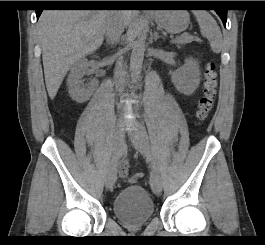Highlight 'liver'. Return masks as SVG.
<instances>
[{"instance_id":"1","label":"liver","mask_w":265,"mask_h":245,"mask_svg":"<svg viewBox=\"0 0 265 245\" xmlns=\"http://www.w3.org/2000/svg\"><path fill=\"white\" fill-rule=\"evenodd\" d=\"M125 25L132 12H119ZM114 12L107 10H45L38 22V35L46 88L51 99L56 96L70 67L98 49Z\"/></svg>"}]
</instances>
